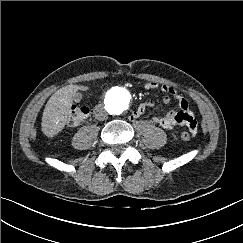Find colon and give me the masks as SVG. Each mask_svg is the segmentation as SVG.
<instances>
[{
  "instance_id": "colon-1",
  "label": "colon",
  "mask_w": 243,
  "mask_h": 243,
  "mask_svg": "<svg viewBox=\"0 0 243 243\" xmlns=\"http://www.w3.org/2000/svg\"><path fill=\"white\" fill-rule=\"evenodd\" d=\"M89 108L86 106H76L74 105L68 117V125L77 126L84 122L89 115ZM190 131L184 130L181 133V138L183 140H190L192 138Z\"/></svg>"
}]
</instances>
